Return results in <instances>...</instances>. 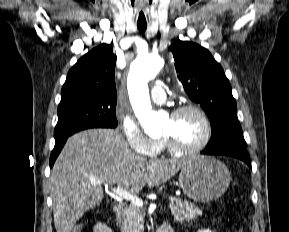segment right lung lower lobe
<instances>
[{
  "mask_svg": "<svg viewBox=\"0 0 289 232\" xmlns=\"http://www.w3.org/2000/svg\"><path fill=\"white\" fill-rule=\"evenodd\" d=\"M68 137L66 138H63V139H60V140H57L55 142V147L51 153V156H50V167L53 166L57 156L59 155L60 151L62 150L66 140H67Z\"/></svg>",
  "mask_w": 289,
  "mask_h": 232,
  "instance_id": "98d812e1",
  "label": "right lung lower lobe"
}]
</instances>
